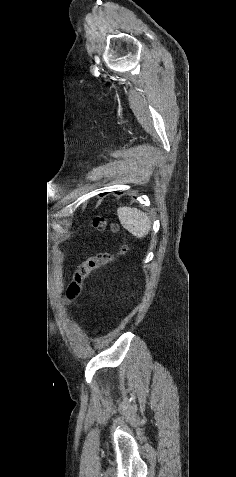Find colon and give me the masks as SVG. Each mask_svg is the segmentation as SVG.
Listing matches in <instances>:
<instances>
[{
  "label": "colon",
  "mask_w": 236,
  "mask_h": 477,
  "mask_svg": "<svg viewBox=\"0 0 236 477\" xmlns=\"http://www.w3.org/2000/svg\"><path fill=\"white\" fill-rule=\"evenodd\" d=\"M94 228L104 230L108 227L105 218L98 216L93 221ZM115 229L114 226H112ZM125 250V249H124ZM112 256L108 253H98L85 260L75 272L72 280L67 287V297L69 300H75L82 292L85 280L95 270L100 269L112 262Z\"/></svg>",
  "instance_id": "5ec220e1"
}]
</instances>
